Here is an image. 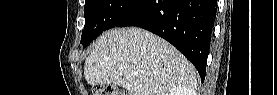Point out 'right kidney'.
Listing matches in <instances>:
<instances>
[{"label":"right kidney","instance_id":"right-kidney-1","mask_svg":"<svg viewBox=\"0 0 277 95\" xmlns=\"http://www.w3.org/2000/svg\"><path fill=\"white\" fill-rule=\"evenodd\" d=\"M168 95H187V94H190V93H186L185 90H182V89H173L170 91V93H167Z\"/></svg>","mask_w":277,"mask_h":95}]
</instances>
